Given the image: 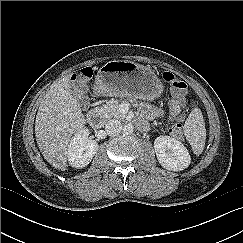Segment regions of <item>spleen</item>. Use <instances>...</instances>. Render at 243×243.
I'll list each match as a JSON object with an SVG mask.
<instances>
[{"instance_id": "spleen-1", "label": "spleen", "mask_w": 243, "mask_h": 243, "mask_svg": "<svg viewBox=\"0 0 243 243\" xmlns=\"http://www.w3.org/2000/svg\"><path fill=\"white\" fill-rule=\"evenodd\" d=\"M184 134L195 154L203 152L206 140L205 122L199 108H193L184 124Z\"/></svg>"}]
</instances>
